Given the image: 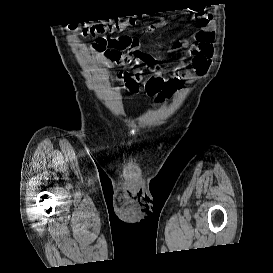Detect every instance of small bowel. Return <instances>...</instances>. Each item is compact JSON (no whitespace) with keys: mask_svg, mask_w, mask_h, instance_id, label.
I'll list each match as a JSON object with an SVG mask.
<instances>
[{"mask_svg":"<svg viewBox=\"0 0 273 273\" xmlns=\"http://www.w3.org/2000/svg\"><path fill=\"white\" fill-rule=\"evenodd\" d=\"M194 19L198 30L192 35V39L177 40L171 48L172 51H186V56L191 58L192 70H188L186 64L181 62L173 70L162 73L156 56L132 46L130 36L100 37L93 43V49L104 62L130 68L128 71H119L116 75L117 81L123 83L130 95L138 94L143 86L145 94L153 99L155 105H160L185 85L205 75L211 65L215 40L212 18L207 14H197ZM163 25L162 22H157L149 26L148 30L154 31ZM141 63L151 71L148 78H145L140 68Z\"/></svg>","mask_w":273,"mask_h":273,"instance_id":"c3829d8e","label":"small bowel"}]
</instances>
